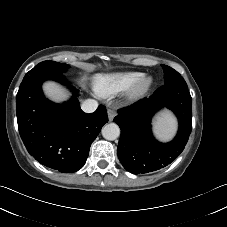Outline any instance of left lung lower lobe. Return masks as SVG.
<instances>
[{
    "instance_id": "0a47b994",
    "label": "left lung lower lobe",
    "mask_w": 227,
    "mask_h": 227,
    "mask_svg": "<svg viewBox=\"0 0 227 227\" xmlns=\"http://www.w3.org/2000/svg\"><path fill=\"white\" fill-rule=\"evenodd\" d=\"M162 107L179 119V130L169 143H160L152 135L151 118ZM114 122L121 129L118 158L133 173H148L172 163L183 151L192 129V98L187 84H164L149 98L118 110Z\"/></svg>"
}]
</instances>
